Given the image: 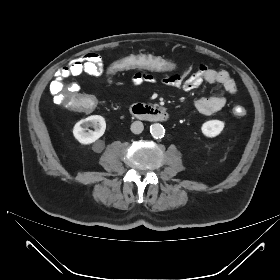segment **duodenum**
Returning <instances> with one entry per match:
<instances>
[{
	"mask_svg": "<svg viewBox=\"0 0 280 280\" xmlns=\"http://www.w3.org/2000/svg\"><path fill=\"white\" fill-rule=\"evenodd\" d=\"M130 113L138 119L152 122H165L169 119V113L164 108L154 107L143 103L132 105Z\"/></svg>",
	"mask_w": 280,
	"mask_h": 280,
	"instance_id": "obj_1",
	"label": "duodenum"
}]
</instances>
